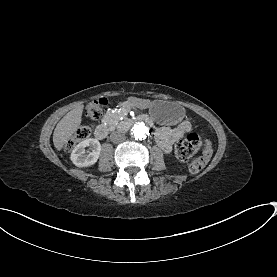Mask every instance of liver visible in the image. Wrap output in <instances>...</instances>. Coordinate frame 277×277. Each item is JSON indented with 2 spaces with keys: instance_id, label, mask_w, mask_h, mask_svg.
Wrapping results in <instances>:
<instances>
[{
  "instance_id": "6515ba94",
  "label": "liver",
  "mask_w": 277,
  "mask_h": 277,
  "mask_svg": "<svg viewBox=\"0 0 277 277\" xmlns=\"http://www.w3.org/2000/svg\"><path fill=\"white\" fill-rule=\"evenodd\" d=\"M84 104L68 112L56 125L53 133V144L57 151H61L81 126Z\"/></svg>"
}]
</instances>
